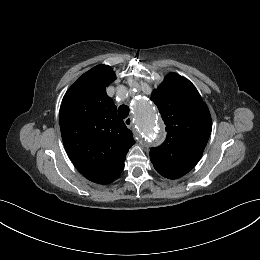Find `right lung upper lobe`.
I'll return each mask as SVG.
<instances>
[{
    "mask_svg": "<svg viewBox=\"0 0 260 260\" xmlns=\"http://www.w3.org/2000/svg\"><path fill=\"white\" fill-rule=\"evenodd\" d=\"M116 79L110 66L97 65L66 92L59 112L65 150L76 169L98 184L115 181L135 143L117 115L106 87Z\"/></svg>",
    "mask_w": 260,
    "mask_h": 260,
    "instance_id": "obj_1",
    "label": "right lung upper lobe"
}]
</instances>
